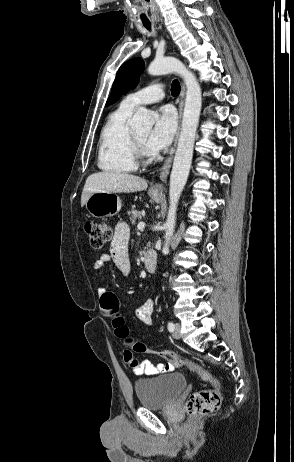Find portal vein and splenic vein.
<instances>
[{
    "label": "portal vein and splenic vein",
    "instance_id": "obj_1",
    "mask_svg": "<svg viewBox=\"0 0 294 462\" xmlns=\"http://www.w3.org/2000/svg\"><path fill=\"white\" fill-rule=\"evenodd\" d=\"M145 226H146V224H145L144 222H140V223L137 225V228H138V230H142Z\"/></svg>",
    "mask_w": 294,
    "mask_h": 462
}]
</instances>
